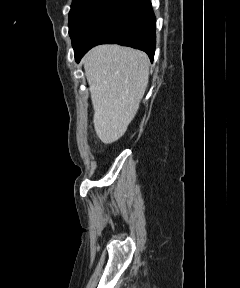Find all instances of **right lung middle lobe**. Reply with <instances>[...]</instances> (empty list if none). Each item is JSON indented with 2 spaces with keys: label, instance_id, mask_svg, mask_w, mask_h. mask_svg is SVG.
<instances>
[{
  "label": "right lung middle lobe",
  "instance_id": "1",
  "mask_svg": "<svg viewBox=\"0 0 240 288\" xmlns=\"http://www.w3.org/2000/svg\"><path fill=\"white\" fill-rule=\"evenodd\" d=\"M120 0H73L69 12L72 45L82 44L95 26Z\"/></svg>",
  "mask_w": 240,
  "mask_h": 288
}]
</instances>
